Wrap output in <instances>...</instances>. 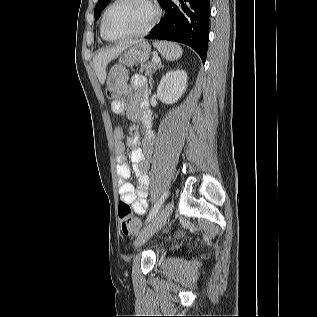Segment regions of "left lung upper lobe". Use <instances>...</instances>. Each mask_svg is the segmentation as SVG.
Segmentation results:
<instances>
[{
  "label": "left lung upper lobe",
  "mask_w": 317,
  "mask_h": 317,
  "mask_svg": "<svg viewBox=\"0 0 317 317\" xmlns=\"http://www.w3.org/2000/svg\"><path fill=\"white\" fill-rule=\"evenodd\" d=\"M111 0H98L96 6H95V19H98L100 16V13L102 12V10L106 7V5L110 2ZM165 0H158V2L160 3V5H162V3Z\"/></svg>",
  "instance_id": "left-lung-upper-lobe-1"
}]
</instances>
